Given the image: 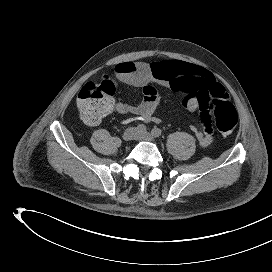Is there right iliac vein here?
Here are the masks:
<instances>
[{
    "mask_svg": "<svg viewBox=\"0 0 272 272\" xmlns=\"http://www.w3.org/2000/svg\"><path fill=\"white\" fill-rule=\"evenodd\" d=\"M137 133H138V131L136 128H128L123 133V139L125 141L134 140V139H136Z\"/></svg>",
    "mask_w": 272,
    "mask_h": 272,
    "instance_id": "63e3f726",
    "label": "right iliac vein"
}]
</instances>
